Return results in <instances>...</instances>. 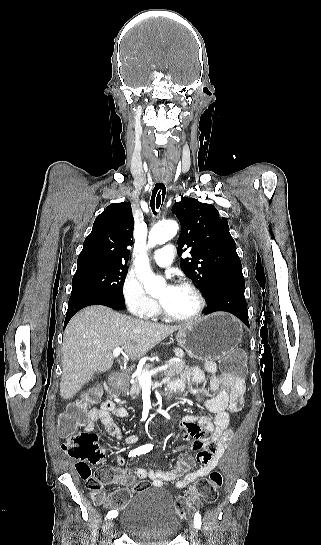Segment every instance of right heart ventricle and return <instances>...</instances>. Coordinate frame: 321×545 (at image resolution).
I'll return each mask as SVG.
<instances>
[{
	"mask_svg": "<svg viewBox=\"0 0 321 545\" xmlns=\"http://www.w3.org/2000/svg\"><path fill=\"white\" fill-rule=\"evenodd\" d=\"M160 315H161V314H160V313H159V311H158V313H157L156 317H160Z\"/></svg>",
	"mask_w": 321,
	"mask_h": 545,
	"instance_id": "1",
	"label": "right heart ventricle"
}]
</instances>
